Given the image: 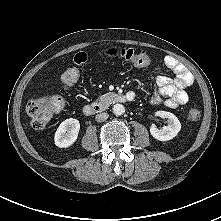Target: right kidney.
<instances>
[{"label": "right kidney", "instance_id": "ca27d5eb", "mask_svg": "<svg viewBox=\"0 0 221 221\" xmlns=\"http://www.w3.org/2000/svg\"><path fill=\"white\" fill-rule=\"evenodd\" d=\"M79 130L80 123L77 119H66L59 125L55 133V145L59 148H68L77 140Z\"/></svg>", "mask_w": 221, "mask_h": 221}]
</instances>
